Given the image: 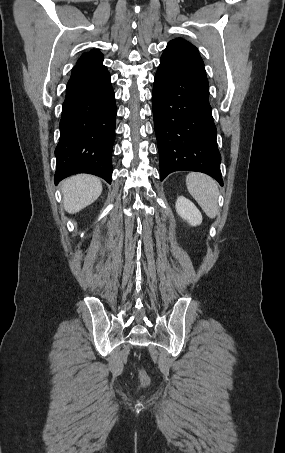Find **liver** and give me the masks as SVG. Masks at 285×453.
Instances as JSON below:
<instances>
[{
    "label": "liver",
    "instance_id": "obj_1",
    "mask_svg": "<svg viewBox=\"0 0 285 453\" xmlns=\"http://www.w3.org/2000/svg\"><path fill=\"white\" fill-rule=\"evenodd\" d=\"M65 210L74 214L92 204L102 192L99 178L79 174L66 179L61 186Z\"/></svg>",
    "mask_w": 285,
    "mask_h": 453
}]
</instances>
